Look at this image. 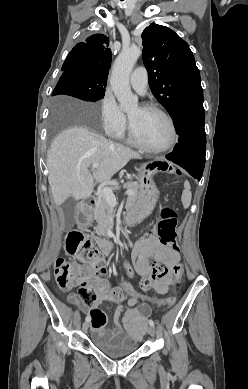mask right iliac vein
I'll use <instances>...</instances> for the list:
<instances>
[{
  "label": "right iliac vein",
  "mask_w": 248,
  "mask_h": 389,
  "mask_svg": "<svg viewBox=\"0 0 248 389\" xmlns=\"http://www.w3.org/2000/svg\"><path fill=\"white\" fill-rule=\"evenodd\" d=\"M88 327H89V323L86 321V322H84L83 325H82V330H83L84 332H87Z\"/></svg>",
  "instance_id": "right-iliac-vein-1"
}]
</instances>
